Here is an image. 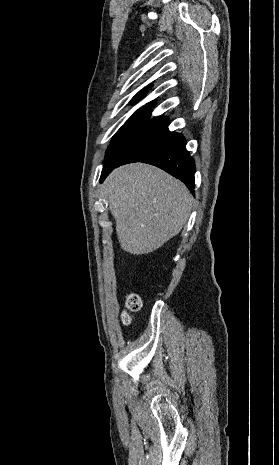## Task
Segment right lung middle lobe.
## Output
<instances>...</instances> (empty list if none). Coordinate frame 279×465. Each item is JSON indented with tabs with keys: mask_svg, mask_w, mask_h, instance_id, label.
Segmentation results:
<instances>
[{
	"mask_svg": "<svg viewBox=\"0 0 279 465\" xmlns=\"http://www.w3.org/2000/svg\"><path fill=\"white\" fill-rule=\"evenodd\" d=\"M180 134L170 132L167 126L155 124L123 125L109 145L104 167L142 162L174 146Z\"/></svg>",
	"mask_w": 279,
	"mask_h": 465,
	"instance_id": "obj_1",
	"label": "right lung middle lobe"
}]
</instances>
